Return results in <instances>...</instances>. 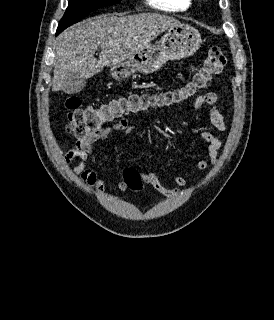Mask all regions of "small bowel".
<instances>
[{"label":"small bowel","mask_w":274,"mask_h":320,"mask_svg":"<svg viewBox=\"0 0 274 320\" xmlns=\"http://www.w3.org/2000/svg\"><path fill=\"white\" fill-rule=\"evenodd\" d=\"M220 101V95L216 92H209L203 95H198L193 103L195 111L201 110L205 105H209V120L212 126L218 131H225L227 125L223 115L217 108ZM137 124L129 123L126 119H120L115 125H106L96 132H92L84 137L79 138L74 147L68 150L64 155V160L67 164L72 161H77L73 168V174L80 177L82 181L97 190L98 193L104 194L106 191V184L101 178L98 171L94 168L97 164V157L94 153V144L103 142L111 137L115 132H119L123 137L130 135L138 129ZM202 139L206 144L207 154L209 160L199 159L196 167L198 171L203 172L208 169L210 165L217 162L219 151L222 147V141L211 131L202 130L200 132ZM142 180L153 187L158 193L165 197L177 196L181 188L187 186V180L183 176L175 175L173 180L176 187H167L163 184L156 173L151 171L147 166H144L140 172ZM118 191H125L127 185L124 181H116L114 183Z\"/></svg>","instance_id":"obj_1"}]
</instances>
